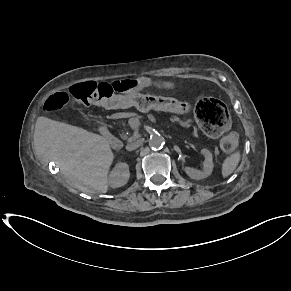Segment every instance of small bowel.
Returning <instances> with one entry per match:
<instances>
[{"label": "small bowel", "mask_w": 291, "mask_h": 291, "mask_svg": "<svg viewBox=\"0 0 291 291\" xmlns=\"http://www.w3.org/2000/svg\"><path fill=\"white\" fill-rule=\"evenodd\" d=\"M131 84L130 93L138 94V91L143 87H153L161 90H171L176 87L173 82L170 81H155L147 79L126 80ZM122 107V106H120Z\"/></svg>", "instance_id": "1"}]
</instances>
